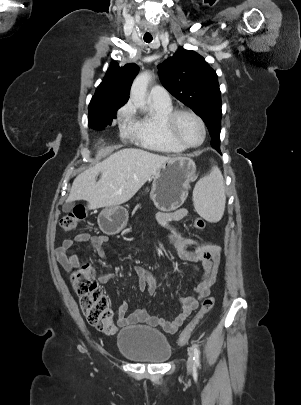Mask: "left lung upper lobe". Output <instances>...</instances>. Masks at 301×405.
Segmentation results:
<instances>
[{"label": "left lung upper lobe", "instance_id": "left-lung-upper-lobe-1", "mask_svg": "<svg viewBox=\"0 0 301 405\" xmlns=\"http://www.w3.org/2000/svg\"><path fill=\"white\" fill-rule=\"evenodd\" d=\"M158 68L163 86L203 119L211 140L219 144L222 111L216 72L199 54L183 48Z\"/></svg>", "mask_w": 301, "mask_h": 405}]
</instances>
